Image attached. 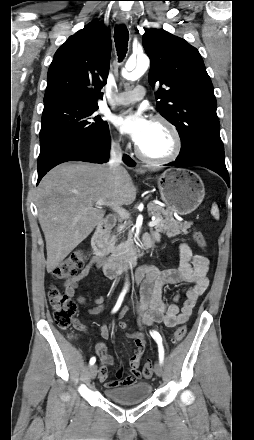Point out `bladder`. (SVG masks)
<instances>
[{
	"mask_svg": "<svg viewBox=\"0 0 254 440\" xmlns=\"http://www.w3.org/2000/svg\"><path fill=\"white\" fill-rule=\"evenodd\" d=\"M150 382L141 381L126 386L105 390V395L112 401L124 404L140 403L147 400L152 394Z\"/></svg>",
	"mask_w": 254,
	"mask_h": 440,
	"instance_id": "1",
	"label": "bladder"
}]
</instances>
